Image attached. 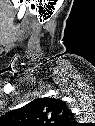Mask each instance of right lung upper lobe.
I'll return each mask as SVG.
<instances>
[{"label": "right lung upper lobe", "mask_w": 95, "mask_h": 126, "mask_svg": "<svg viewBox=\"0 0 95 126\" xmlns=\"http://www.w3.org/2000/svg\"><path fill=\"white\" fill-rule=\"evenodd\" d=\"M6 118L17 126H73L74 116L60 99L38 98L10 111Z\"/></svg>", "instance_id": "right-lung-upper-lobe-1"}]
</instances>
